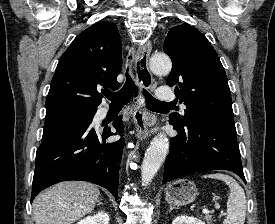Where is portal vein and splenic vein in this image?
<instances>
[{
  "mask_svg": "<svg viewBox=\"0 0 275 224\" xmlns=\"http://www.w3.org/2000/svg\"><path fill=\"white\" fill-rule=\"evenodd\" d=\"M202 213H203V214H207V213H210V211H209L207 208H203V209H202Z\"/></svg>",
  "mask_w": 275,
  "mask_h": 224,
  "instance_id": "1",
  "label": "portal vein and splenic vein"
}]
</instances>
